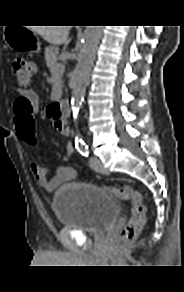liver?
I'll list each match as a JSON object with an SVG mask.
<instances>
[{"instance_id": "liver-1", "label": "liver", "mask_w": 184, "mask_h": 292, "mask_svg": "<svg viewBox=\"0 0 184 292\" xmlns=\"http://www.w3.org/2000/svg\"><path fill=\"white\" fill-rule=\"evenodd\" d=\"M70 28L71 26H35L32 30L48 43L61 45L68 43Z\"/></svg>"}]
</instances>
